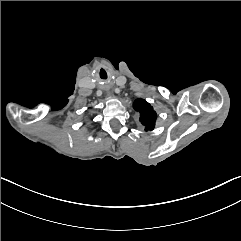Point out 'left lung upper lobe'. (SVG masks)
Here are the masks:
<instances>
[{"mask_svg":"<svg viewBox=\"0 0 241 241\" xmlns=\"http://www.w3.org/2000/svg\"><path fill=\"white\" fill-rule=\"evenodd\" d=\"M133 107L140 113V121L145 126V131L153 130L157 118L153 107L144 99H136Z\"/></svg>","mask_w":241,"mask_h":241,"instance_id":"5c2ea615","label":"left lung upper lobe"}]
</instances>
